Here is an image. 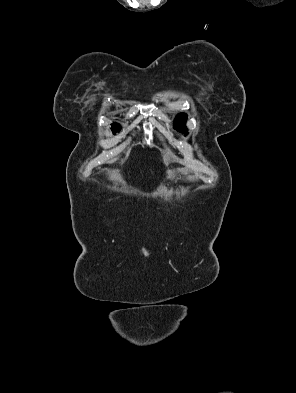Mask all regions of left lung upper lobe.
Returning <instances> with one entry per match:
<instances>
[{
	"mask_svg": "<svg viewBox=\"0 0 296 393\" xmlns=\"http://www.w3.org/2000/svg\"><path fill=\"white\" fill-rule=\"evenodd\" d=\"M186 120V116L184 114H180L176 117L175 127L180 132H187L186 127L184 126Z\"/></svg>",
	"mask_w": 296,
	"mask_h": 393,
	"instance_id": "obj_1",
	"label": "left lung upper lobe"
}]
</instances>
